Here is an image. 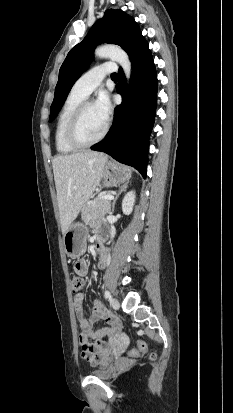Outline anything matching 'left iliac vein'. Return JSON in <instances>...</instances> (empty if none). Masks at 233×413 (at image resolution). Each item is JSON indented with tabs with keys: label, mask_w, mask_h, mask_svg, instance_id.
Segmentation results:
<instances>
[{
	"label": "left iliac vein",
	"mask_w": 233,
	"mask_h": 413,
	"mask_svg": "<svg viewBox=\"0 0 233 413\" xmlns=\"http://www.w3.org/2000/svg\"><path fill=\"white\" fill-rule=\"evenodd\" d=\"M110 305L115 310L119 309V307H120L119 301L116 298H111L110 299Z\"/></svg>",
	"instance_id": "1"
}]
</instances>
